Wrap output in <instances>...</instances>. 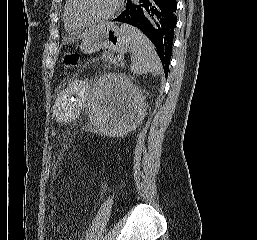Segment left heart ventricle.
<instances>
[{"instance_id":"1","label":"left heart ventricle","mask_w":257,"mask_h":240,"mask_svg":"<svg viewBox=\"0 0 257 240\" xmlns=\"http://www.w3.org/2000/svg\"><path fill=\"white\" fill-rule=\"evenodd\" d=\"M115 0H78L79 13L87 18H98L111 11Z\"/></svg>"}]
</instances>
